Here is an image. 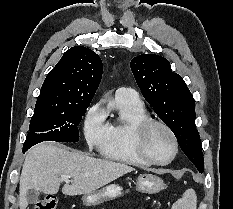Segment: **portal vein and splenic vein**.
Wrapping results in <instances>:
<instances>
[{
  "label": "portal vein and splenic vein",
  "instance_id": "1",
  "mask_svg": "<svg viewBox=\"0 0 233 209\" xmlns=\"http://www.w3.org/2000/svg\"><path fill=\"white\" fill-rule=\"evenodd\" d=\"M69 178H70V177L67 176V175H61V178H60V179L66 181V182H70V181H69Z\"/></svg>",
  "mask_w": 233,
  "mask_h": 209
}]
</instances>
